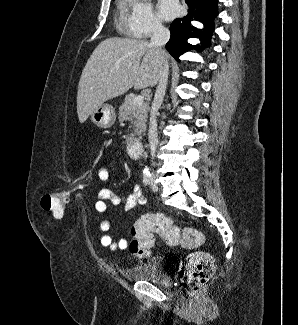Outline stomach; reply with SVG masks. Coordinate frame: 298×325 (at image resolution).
I'll list each match as a JSON object with an SVG mask.
<instances>
[{
    "instance_id": "1",
    "label": "stomach",
    "mask_w": 298,
    "mask_h": 325,
    "mask_svg": "<svg viewBox=\"0 0 298 325\" xmlns=\"http://www.w3.org/2000/svg\"><path fill=\"white\" fill-rule=\"evenodd\" d=\"M90 118L100 128H110L116 120V110L112 104L104 102V104H101V106L93 110Z\"/></svg>"
}]
</instances>
